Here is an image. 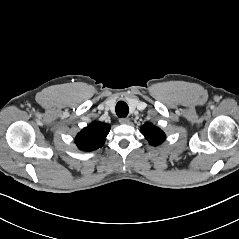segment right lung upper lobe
Instances as JSON below:
<instances>
[{
	"label": "right lung upper lobe",
	"mask_w": 239,
	"mask_h": 239,
	"mask_svg": "<svg viewBox=\"0 0 239 239\" xmlns=\"http://www.w3.org/2000/svg\"><path fill=\"white\" fill-rule=\"evenodd\" d=\"M109 131L110 125L94 121L77 134L75 138L76 145L83 151L98 149L103 146Z\"/></svg>",
	"instance_id": "1"
}]
</instances>
